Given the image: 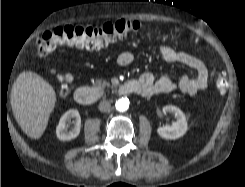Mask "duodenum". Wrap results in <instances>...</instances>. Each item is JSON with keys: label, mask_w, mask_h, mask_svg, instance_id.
<instances>
[{"label": "duodenum", "mask_w": 245, "mask_h": 187, "mask_svg": "<svg viewBox=\"0 0 245 187\" xmlns=\"http://www.w3.org/2000/svg\"><path fill=\"white\" fill-rule=\"evenodd\" d=\"M118 92L123 95L142 96L144 88L138 80L130 79L119 86ZM100 95V91L95 87L81 86L75 90L74 99L79 104L88 105L96 102Z\"/></svg>", "instance_id": "1"}]
</instances>
